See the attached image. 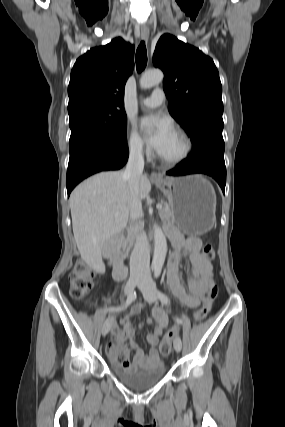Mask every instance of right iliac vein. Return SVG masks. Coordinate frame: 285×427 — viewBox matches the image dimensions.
<instances>
[{"label": "right iliac vein", "instance_id": "63e3f726", "mask_svg": "<svg viewBox=\"0 0 285 427\" xmlns=\"http://www.w3.org/2000/svg\"><path fill=\"white\" fill-rule=\"evenodd\" d=\"M141 282V279L139 278H132L127 282L126 288H125V294L129 295L130 293L133 292V290L135 289V287L137 285H139ZM113 323V318H108L105 323L103 324L102 327V335L106 336L108 334V332L110 331V328L112 326Z\"/></svg>", "mask_w": 285, "mask_h": 427}]
</instances>
